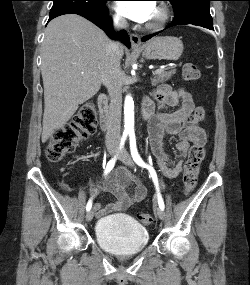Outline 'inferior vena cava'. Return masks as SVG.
I'll return each instance as SVG.
<instances>
[{"instance_id":"602c4592","label":"inferior vena cava","mask_w":250,"mask_h":285,"mask_svg":"<svg viewBox=\"0 0 250 285\" xmlns=\"http://www.w3.org/2000/svg\"><path fill=\"white\" fill-rule=\"evenodd\" d=\"M116 29L128 26L126 19L120 16L113 18ZM120 44L111 42L106 50V55L101 65L102 82L108 90L110 107L107 117L106 144H118L120 141V124L122 111V84L123 72L120 67Z\"/></svg>"}]
</instances>
